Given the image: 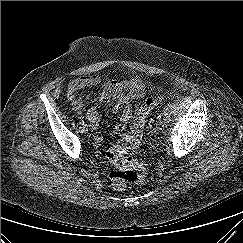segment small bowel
I'll return each mask as SVG.
<instances>
[{
  "label": "small bowel",
  "instance_id": "c3829d8e",
  "mask_svg": "<svg viewBox=\"0 0 243 243\" xmlns=\"http://www.w3.org/2000/svg\"><path fill=\"white\" fill-rule=\"evenodd\" d=\"M86 88H96L99 100L114 102L113 110L115 113L120 114L117 130H121L126 126L131 116L132 102H140L149 90L142 81L137 79H111L104 81L98 75L81 76L71 80L67 88V98L71 107L76 111H80L83 108V103L78 97V93ZM85 115L95 133L94 142L99 146L103 142L98 132L101 126L99 113L95 108L91 107L86 110Z\"/></svg>",
  "mask_w": 243,
  "mask_h": 243
}]
</instances>
